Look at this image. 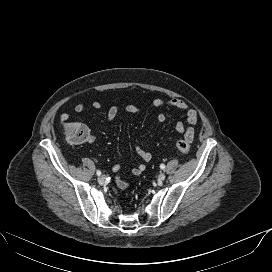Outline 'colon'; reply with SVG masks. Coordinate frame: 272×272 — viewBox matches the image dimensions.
Wrapping results in <instances>:
<instances>
[{"label": "colon", "mask_w": 272, "mask_h": 272, "mask_svg": "<svg viewBox=\"0 0 272 272\" xmlns=\"http://www.w3.org/2000/svg\"><path fill=\"white\" fill-rule=\"evenodd\" d=\"M63 131L66 138L73 143H83L89 140L90 134L85 126L79 123L64 122ZM191 136L188 134L176 143L178 151L187 154L190 151Z\"/></svg>", "instance_id": "colon-1"}]
</instances>
